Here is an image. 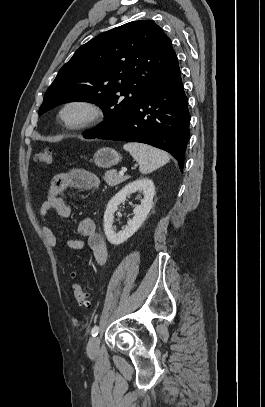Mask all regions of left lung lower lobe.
<instances>
[{
  "label": "left lung lower lobe",
  "instance_id": "0a47b994",
  "mask_svg": "<svg viewBox=\"0 0 265 407\" xmlns=\"http://www.w3.org/2000/svg\"><path fill=\"white\" fill-rule=\"evenodd\" d=\"M188 99L180 69L155 85L137 107L118 125L93 138L133 141L169 152L183 171L190 137Z\"/></svg>",
  "mask_w": 265,
  "mask_h": 407
}]
</instances>
